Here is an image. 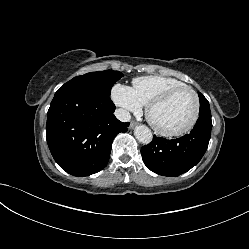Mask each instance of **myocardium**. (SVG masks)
I'll use <instances>...</instances> for the list:
<instances>
[{"label": "myocardium", "instance_id": "f54148a6", "mask_svg": "<svg viewBox=\"0 0 249 249\" xmlns=\"http://www.w3.org/2000/svg\"><path fill=\"white\" fill-rule=\"evenodd\" d=\"M181 91H189V92L192 93V95L194 97L195 108H194L193 116L190 119V121L188 122V124L185 125L183 128H181L179 130H175V131L163 130L154 123V121L152 119V112L156 107L166 103L174 95H176L177 93H179ZM199 114H200V98H199V95L192 87H190L188 85L177 86V87L169 89L168 91L164 92L163 94H161L160 96H158L157 98L152 100L148 104L147 110H146V116H147V119H148L150 125L152 126V128L157 133H159L160 135L165 136V137H179V136H182V135L188 133L194 127V125L196 124V122H197V120L199 118Z\"/></svg>", "mask_w": 249, "mask_h": 249}]
</instances>
